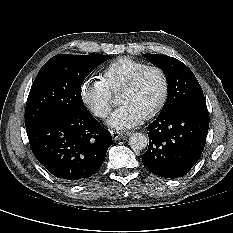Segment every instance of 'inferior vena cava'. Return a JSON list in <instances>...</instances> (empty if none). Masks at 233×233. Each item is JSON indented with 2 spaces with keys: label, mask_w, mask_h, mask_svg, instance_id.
I'll return each mask as SVG.
<instances>
[{
  "label": "inferior vena cava",
  "mask_w": 233,
  "mask_h": 233,
  "mask_svg": "<svg viewBox=\"0 0 233 233\" xmlns=\"http://www.w3.org/2000/svg\"><path fill=\"white\" fill-rule=\"evenodd\" d=\"M108 114H109V112H108L107 109H101V110L99 111V116H101V117H103V118L107 117Z\"/></svg>",
  "instance_id": "inferior-vena-cava-1"
}]
</instances>
